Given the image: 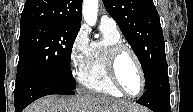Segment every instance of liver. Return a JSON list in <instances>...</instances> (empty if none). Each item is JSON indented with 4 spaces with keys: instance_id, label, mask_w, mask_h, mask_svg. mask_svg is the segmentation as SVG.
<instances>
[{
    "instance_id": "6515ba94",
    "label": "liver",
    "mask_w": 193,
    "mask_h": 112,
    "mask_svg": "<svg viewBox=\"0 0 193 112\" xmlns=\"http://www.w3.org/2000/svg\"><path fill=\"white\" fill-rule=\"evenodd\" d=\"M134 103L122 100L82 95L75 97H58L55 95L38 99L24 112H142Z\"/></svg>"
}]
</instances>
